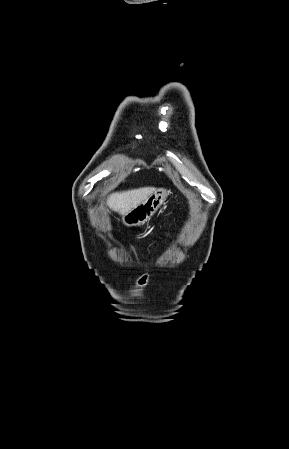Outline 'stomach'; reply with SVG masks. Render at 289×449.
Returning <instances> with one entry per match:
<instances>
[{
  "mask_svg": "<svg viewBox=\"0 0 289 449\" xmlns=\"http://www.w3.org/2000/svg\"><path fill=\"white\" fill-rule=\"evenodd\" d=\"M168 195L169 191L166 189H156L145 201L123 214L122 223L127 227L144 224L160 208Z\"/></svg>",
  "mask_w": 289,
  "mask_h": 449,
  "instance_id": "stomach-1",
  "label": "stomach"
}]
</instances>
